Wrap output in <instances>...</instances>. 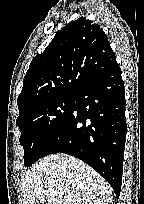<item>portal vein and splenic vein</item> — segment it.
<instances>
[{
	"label": "portal vein and splenic vein",
	"instance_id": "obj_1",
	"mask_svg": "<svg viewBox=\"0 0 144 204\" xmlns=\"http://www.w3.org/2000/svg\"><path fill=\"white\" fill-rule=\"evenodd\" d=\"M55 194H56L55 192H51V193H50L51 196H54Z\"/></svg>",
	"mask_w": 144,
	"mask_h": 204
}]
</instances>
